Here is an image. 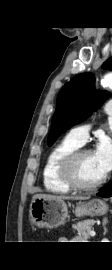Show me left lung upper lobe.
<instances>
[{
    "label": "left lung upper lobe",
    "instance_id": "obj_1",
    "mask_svg": "<svg viewBox=\"0 0 112 270\" xmlns=\"http://www.w3.org/2000/svg\"><path fill=\"white\" fill-rule=\"evenodd\" d=\"M102 68L112 70V58L106 61ZM94 82L93 74H79L61 89L48 136L49 146L72 125L90 116L92 111L110 97V93L106 91L95 90Z\"/></svg>",
    "mask_w": 112,
    "mask_h": 270
}]
</instances>
